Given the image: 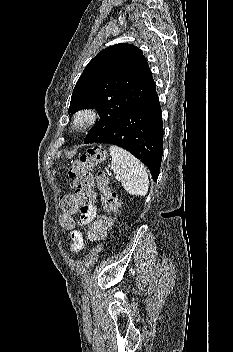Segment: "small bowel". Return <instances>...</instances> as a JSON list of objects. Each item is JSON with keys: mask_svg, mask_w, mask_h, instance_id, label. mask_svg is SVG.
Here are the masks:
<instances>
[{"mask_svg": "<svg viewBox=\"0 0 233 352\" xmlns=\"http://www.w3.org/2000/svg\"><path fill=\"white\" fill-rule=\"evenodd\" d=\"M96 206L93 202H91L86 207L80 208V220L79 223L81 225H86L92 222L96 217ZM71 239H72V252L76 253L83 249L84 247V239L83 235L79 230H73L71 232Z\"/></svg>", "mask_w": 233, "mask_h": 352, "instance_id": "small-bowel-1", "label": "small bowel"}]
</instances>
